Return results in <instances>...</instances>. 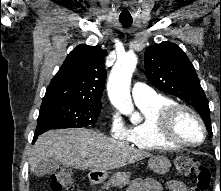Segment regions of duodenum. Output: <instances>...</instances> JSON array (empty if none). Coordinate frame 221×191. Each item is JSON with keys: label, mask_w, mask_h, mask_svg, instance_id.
Here are the masks:
<instances>
[{"label": "duodenum", "mask_w": 221, "mask_h": 191, "mask_svg": "<svg viewBox=\"0 0 221 191\" xmlns=\"http://www.w3.org/2000/svg\"><path fill=\"white\" fill-rule=\"evenodd\" d=\"M96 178H97V177H96L95 175H93V174L89 176V180H90L91 182L96 181Z\"/></svg>", "instance_id": "obj_1"}]
</instances>
